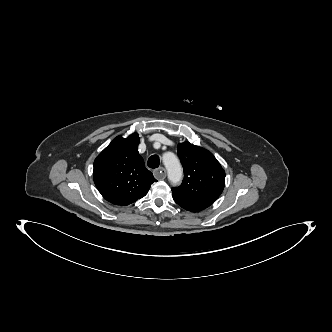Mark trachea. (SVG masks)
Here are the masks:
<instances>
[{"label":"trachea","mask_w":332,"mask_h":332,"mask_svg":"<svg viewBox=\"0 0 332 332\" xmlns=\"http://www.w3.org/2000/svg\"><path fill=\"white\" fill-rule=\"evenodd\" d=\"M159 163H160V160H159L158 155L150 156L147 161L148 166L152 169L159 167Z\"/></svg>","instance_id":"obj_1"}]
</instances>
